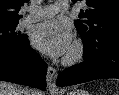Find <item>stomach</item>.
<instances>
[{
	"label": "stomach",
	"mask_w": 119,
	"mask_h": 95,
	"mask_svg": "<svg viewBox=\"0 0 119 95\" xmlns=\"http://www.w3.org/2000/svg\"><path fill=\"white\" fill-rule=\"evenodd\" d=\"M66 95H89V93L83 90H74V91L67 92Z\"/></svg>",
	"instance_id": "0dacf381"
}]
</instances>
